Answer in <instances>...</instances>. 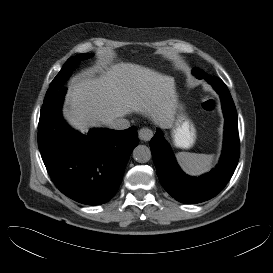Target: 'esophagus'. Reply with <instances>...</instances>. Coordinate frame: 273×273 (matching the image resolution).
I'll use <instances>...</instances> for the list:
<instances>
[{"label": "esophagus", "mask_w": 273, "mask_h": 273, "mask_svg": "<svg viewBox=\"0 0 273 273\" xmlns=\"http://www.w3.org/2000/svg\"><path fill=\"white\" fill-rule=\"evenodd\" d=\"M138 136L142 141H149L153 137V132L148 128H141L138 132Z\"/></svg>", "instance_id": "34e87169"}]
</instances>
